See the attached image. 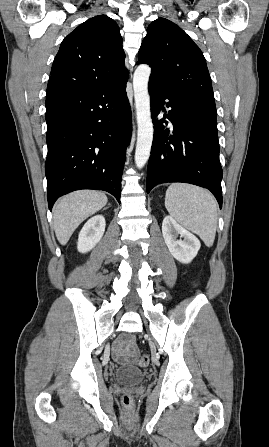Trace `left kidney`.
I'll list each match as a JSON object with an SVG mask.
<instances>
[{"label":"left kidney","mask_w":269,"mask_h":447,"mask_svg":"<svg viewBox=\"0 0 269 447\" xmlns=\"http://www.w3.org/2000/svg\"><path fill=\"white\" fill-rule=\"evenodd\" d=\"M162 233L169 251H171L173 257L178 259V261L190 263L193 257L197 255L201 245L198 237L190 233V231H187V229H184L182 225L177 224L171 216L164 218ZM178 233L184 239H176Z\"/></svg>","instance_id":"obj_1"}]
</instances>
